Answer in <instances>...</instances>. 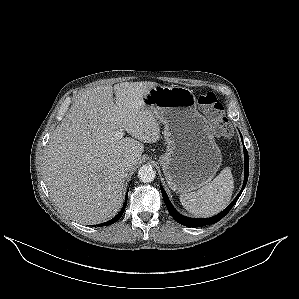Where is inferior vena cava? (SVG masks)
Segmentation results:
<instances>
[{
  "label": "inferior vena cava",
  "instance_id": "obj_1",
  "mask_svg": "<svg viewBox=\"0 0 299 299\" xmlns=\"http://www.w3.org/2000/svg\"><path fill=\"white\" fill-rule=\"evenodd\" d=\"M132 163V159L130 157H126L123 159L122 164L125 168H128Z\"/></svg>",
  "mask_w": 299,
  "mask_h": 299
}]
</instances>
